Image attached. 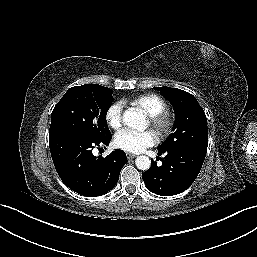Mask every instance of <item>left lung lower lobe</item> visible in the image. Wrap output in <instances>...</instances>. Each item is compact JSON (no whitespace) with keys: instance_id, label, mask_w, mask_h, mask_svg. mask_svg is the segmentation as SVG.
<instances>
[{"instance_id":"1","label":"left lung lower lobe","mask_w":257,"mask_h":257,"mask_svg":"<svg viewBox=\"0 0 257 257\" xmlns=\"http://www.w3.org/2000/svg\"><path fill=\"white\" fill-rule=\"evenodd\" d=\"M158 151L165 157L161 166L152 161L149 170L142 174L146 187L161 196L185 191L198 176L206 154L184 149Z\"/></svg>"}]
</instances>
